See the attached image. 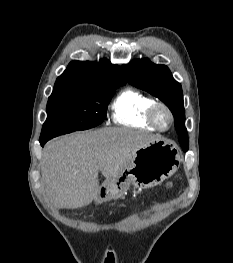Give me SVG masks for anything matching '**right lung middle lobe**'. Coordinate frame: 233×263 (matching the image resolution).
I'll return each instance as SVG.
<instances>
[{
	"mask_svg": "<svg viewBox=\"0 0 233 263\" xmlns=\"http://www.w3.org/2000/svg\"><path fill=\"white\" fill-rule=\"evenodd\" d=\"M116 88L118 87L95 93L50 96L47 103L48 116L43 124L40 140H50L101 124Z\"/></svg>",
	"mask_w": 233,
	"mask_h": 263,
	"instance_id": "1",
	"label": "right lung middle lobe"
}]
</instances>
